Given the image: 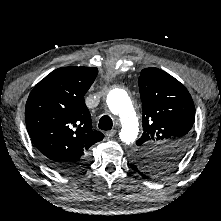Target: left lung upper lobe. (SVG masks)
<instances>
[{
    "instance_id": "obj_1",
    "label": "left lung upper lobe",
    "mask_w": 221,
    "mask_h": 221,
    "mask_svg": "<svg viewBox=\"0 0 221 221\" xmlns=\"http://www.w3.org/2000/svg\"><path fill=\"white\" fill-rule=\"evenodd\" d=\"M142 100L143 134L136 141V164L154 175L173 169L191 142L195 120L193 100L174 77L146 68L138 79Z\"/></svg>"
}]
</instances>
